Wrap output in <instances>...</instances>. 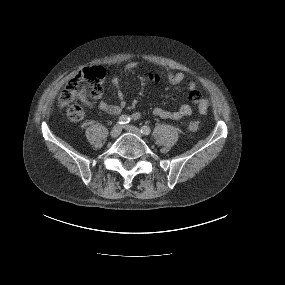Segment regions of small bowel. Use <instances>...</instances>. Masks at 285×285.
<instances>
[{"label": "small bowel", "mask_w": 285, "mask_h": 285, "mask_svg": "<svg viewBox=\"0 0 285 285\" xmlns=\"http://www.w3.org/2000/svg\"><path fill=\"white\" fill-rule=\"evenodd\" d=\"M138 65L139 63L136 61H131L127 63L123 69V73L127 74L131 72L132 70L136 69ZM150 79L153 81L159 82L161 80V76L159 74L154 73L150 75ZM166 79L168 80V82L172 84H181L185 82L186 75L182 72H167ZM111 82L117 90V95H118V98L120 99V103L110 104V103H107L106 101H100L99 109L110 115H118L125 106L124 93L121 90L120 79L118 76H113L111 79ZM187 89L189 92V99H188L189 102L196 104L199 112L201 114H205L208 110V101L207 99L202 97L194 80L188 81ZM191 114H192V107L189 103H185L181 105L176 110H165L159 107H156L153 110L154 116L158 118H162V119H169V120H181L182 118L190 116ZM132 118L134 120H137L140 118V114L134 113L132 115Z\"/></svg>", "instance_id": "1"}]
</instances>
